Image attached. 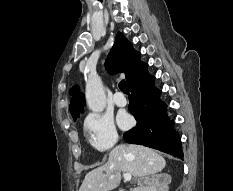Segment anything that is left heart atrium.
Returning <instances> with one entry per match:
<instances>
[{
	"label": "left heart atrium",
	"instance_id": "obj_1",
	"mask_svg": "<svg viewBox=\"0 0 233 191\" xmlns=\"http://www.w3.org/2000/svg\"><path fill=\"white\" fill-rule=\"evenodd\" d=\"M118 123L124 129L130 127L132 123L130 115L125 112L120 113L118 116Z\"/></svg>",
	"mask_w": 233,
	"mask_h": 191
}]
</instances>
